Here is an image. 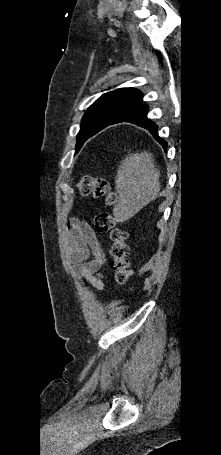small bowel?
I'll return each instance as SVG.
<instances>
[{
	"label": "small bowel",
	"instance_id": "obj_1",
	"mask_svg": "<svg viewBox=\"0 0 221 455\" xmlns=\"http://www.w3.org/2000/svg\"><path fill=\"white\" fill-rule=\"evenodd\" d=\"M65 243L71 262L78 267L79 275L99 292H104L105 277L100 270L105 263V253L91 227L85 222L72 220L67 226ZM90 256L92 259L87 262Z\"/></svg>",
	"mask_w": 221,
	"mask_h": 455
}]
</instances>
